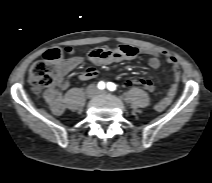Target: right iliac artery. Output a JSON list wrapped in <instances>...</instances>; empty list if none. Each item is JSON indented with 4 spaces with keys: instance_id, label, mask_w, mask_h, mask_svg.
Returning <instances> with one entry per match:
<instances>
[{
    "instance_id": "obj_1",
    "label": "right iliac artery",
    "mask_w": 212,
    "mask_h": 183,
    "mask_svg": "<svg viewBox=\"0 0 212 183\" xmlns=\"http://www.w3.org/2000/svg\"><path fill=\"white\" fill-rule=\"evenodd\" d=\"M98 88L99 89H104L105 88V83L103 81L98 83Z\"/></svg>"
}]
</instances>
